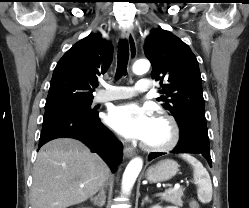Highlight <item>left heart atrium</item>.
Here are the masks:
<instances>
[{
    "label": "left heart atrium",
    "mask_w": 249,
    "mask_h": 208,
    "mask_svg": "<svg viewBox=\"0 0 249 208\" xmlns=\"http://www.w3.org/2000/svg\"><path fill=\"white\" fill-rule=\"evenodd\" d=\"M154 121L151 110L136 102L115 106L107 116V123L119 134L141 142L150 137Z\"/></svg>",
    "instance_id": "39dd6f15"
}]
</instances>
